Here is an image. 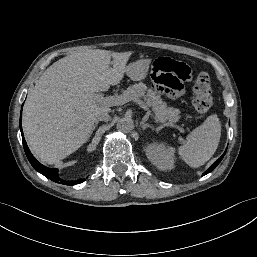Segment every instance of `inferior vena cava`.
Returning <instances> with one entry per match:
<instances>
[{"label": "inferior vena cava", "instance_id": "602c4592", "mask_svg": "<svg viewBox=\"0 0 257 257\" xmlns=\"http://www.w3.org/2000/svg\"><path fill=\"white\" fill-rule=\"evenodd\" d=\"M110 120V115L107 112H101L98 113V115L96 116V121H109Z\"/></svg>", "mask_w": 257, "mask_h": 257}]
</instances>
